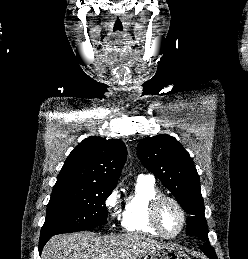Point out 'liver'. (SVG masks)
<instances>
[{
  "label": "liver",
  "mask_w": 248,
  "mask_h": 259,
  "mask_svg": "<svg viewBox=\"0 0 248 259\" xmlns=\"http://www.w3.org/2000/svg\"><path fill=\"white\" fill-rule=\"evenodd\" d=\"M162 246L133 233L101 236L77 232L53 236L44 246L41 259H140Z\"/></svg>",
  "instance_id": "1"
}]
</instances>
